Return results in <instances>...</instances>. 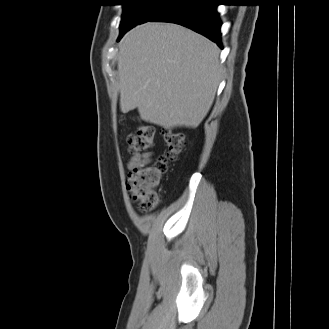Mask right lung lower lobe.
<instances>
[{"label": "right lung lower lobe", "instance_id": "right-lung-lower-lobe-1", "mask_svg": "<svg viewBox=\"0 0 329 329\" xmlns=\"http://www.w3.org/2000/svg\"><path fill=\"white\" fill-rule=\"evenodd\" d=\"M217 1L219 0H176L165 6L149 21L185 26L221 46V21L216 9Z\"/></svg>", "mask_w": 329, "mask_h": 329}]
</instances>
